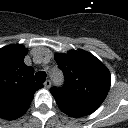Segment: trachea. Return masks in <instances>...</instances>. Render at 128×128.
<instances>
[{
	"label": "trachea",
	"instance_id": "obj_1",
	"mask_svg": "<svg viewBox=\"0 0 128 128\" xmlns=\"http://www.w3.org/2000/svg\"><path fill=\"white\" fill-rule=\"evenodd\" d=\"M35 80L38 83H44V81L46 80V74H45V72H42V71L37 72L35 74Z\"/></svg>",
	"mask_w": 128,
	"mask_h": 128
}]
</instances>
